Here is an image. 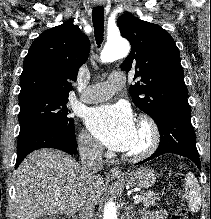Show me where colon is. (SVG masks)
Returning <instances> with one entry per match:
<instances>
[{
  "instance_id": "colon-1",
  "label": "colon",
  "mask_w": 211,
  "mask_h": 219,
  "mask_svg": "<svg viewBox=\"0 0 211 219\" xmlns=\"http://www.w3.org/2000/svg\"><path fill=\"white\" fill-rule=\"evenodd\" d=\"M170 186L174 190L173 196L174 209L171 219H189L188 211L182 203L180 192L184 186V175L182 172H175L170 176ZM42 219H70L68 217L53 215Z\"/></svg>"
}]
</instances>
